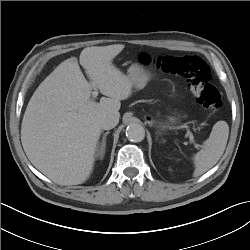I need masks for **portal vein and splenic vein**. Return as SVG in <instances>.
Returning <instances> with one entry per match:
<instances>
[{
  "mask_svg": "<svg viewBox=\"0 0 250 250\" xmlns=\"http://www.w3.org/2000/svg\"><path fill=\"white\" fill-rule=\"evenodd\" d=\"M97 96H98V91H97L96 88H95V90L92 92V97H93V98H96ZM181 127L187 129V133H188V136H189V138H190V141H191V142H194L193 134H192V132L188 129V126L182 125Z\"/></svg>",
  "mask_w": 250,
  "mask_h": 250,
  "instance_id": "obj_1",
  "label": "portal vein and splenic vein"
}]
</instances>
